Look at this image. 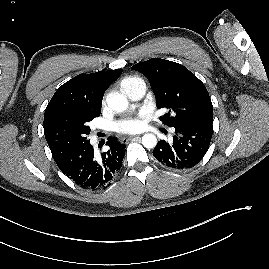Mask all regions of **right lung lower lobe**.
Instances as JSON below:
<instances>
[{
  "instance_id": "right-lung-lower-lobe-1",
  "label": "right lung lower lobe",
  "mask_w": 269,
  "mask_h": 269,
  "mask_svg": "<svg viewBox=\"0 0 269 269\" xmlns=\"http://www.w3.org/2000/svg\"><path fill=\"white\" fill-rule=\"evenodd\" d=\"M109 150L94 156L90 141L54 159L59 169L84 189L99 190L108 187L118 175L125 155V145L115 137L106 143Z\"/></svg>"
}]
</instances>
